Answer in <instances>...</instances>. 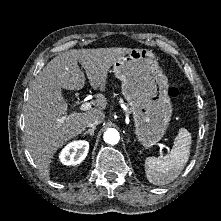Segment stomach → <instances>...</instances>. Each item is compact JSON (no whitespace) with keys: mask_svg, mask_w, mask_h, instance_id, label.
<instances>
[{"mask_svg":"<svg viewBox=\"0 0 221 221\" xmlns=\"http://www.w3.org/2000/svg\"><path fill=\"white\" fill-rule=\"evenodd\" d=\"M114 75L122 82L135 122V133L145 149L165 135L172 115L167 95L168 78L151 50L131 49L113 64Z\"/></svg>","mask_w":221,"mask_h":221,"instance_id":"stomach-1","label":"stomach"}]
</instances>
